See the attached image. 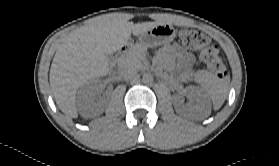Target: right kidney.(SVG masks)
Returning <instances> with one entry per match:
<instances>
[{
    "instance_id": "right-kidney-1",
    "label": "right kidney",
    "mask_w": 279,
    "mask_h": 166,
    "mask_svg": "<svg viewBox=\"0 0 279 166\" xmlns=\"http://www.w3.org/2000/svg\"><path fill=\"white\" fill-rule=\"evenodd\" d=\"M101 86V82L96 80L88 83V86L79 96V104L83 110L94 104L96 95L99 94Z\"/></svg>"
}]
</instances>
